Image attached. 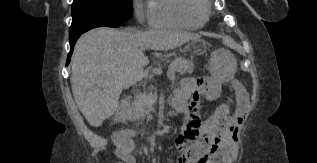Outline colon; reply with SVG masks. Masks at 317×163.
<instances>
[{
  "label": "colon",
  "mask_w": 317,
  "mask_h": 163,
  "mask_svg": "<svg viewBox=\"0 0 317 163\" xmlns=\"http://www.w3.org/2000/svg\"><path fill=\"white\" fill-rule=\"evenodd\" d=\"M236 94H237V101L238 102H243L245 99V96L248 95L246 90L241 85H236ZM211 124H213L212 120L209 122V125H211Z\"/></svg>",
  "instance_id": "obj_1"
}]
</instances>
